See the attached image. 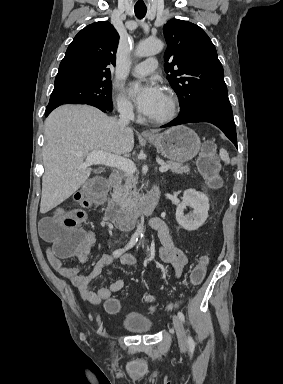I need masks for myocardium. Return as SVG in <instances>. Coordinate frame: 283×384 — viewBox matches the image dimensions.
<instances>
[{
	"label": "myocardium",
	"instance_id": "f54148a6",
	"mask_svg": "<svg viewBox=\"0 0 283 384\" xmlns=\"http://www.w3.org/2000/svg\"><path fill=\"white\" fill-rule=\"evenodd\" d=\"M165 98H166V102H167L166 112L160 117L149 118L148 122L153 123V124H164V123H167V122H170L171 120H173V118L175 117L176 112H177L176 100L173 97V95L170 93H167L165 95Z\"/></svg>",
	"mask_w": 283,
	"mask_h": 384
}]
</instances>
